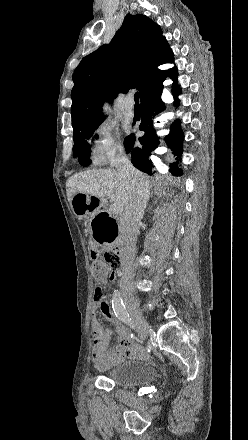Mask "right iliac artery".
Returning <instances> with one entry per match:
<instances>
[{
  "mask_svg": "<svg viewBox=\"0 0 248 440\" xmlns=\"http://www.w3.org/2000/svg\"><path fill=\"white\" fill-rule=\"evenodd\" d=\"M112 308H113L115 315L118 317L119 320H121L126 325H128L132 329H134L135 326L129 316V313L126 309V306L123 303V300L120 296V292L118 290L114 291V293H113Z\"/></svg>",
  "mask_w": 248,
  "mask_h": 440,
  "instance_id": "1",
  "label": "right iliac artery"
}]
</instances>
